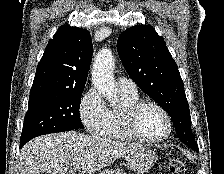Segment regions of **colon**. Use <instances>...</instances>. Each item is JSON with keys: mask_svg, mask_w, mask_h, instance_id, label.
Instances as JSON below:
<instances>
[{"mask_svg": "<svg viewBox=\"0 0 224 174\" xmlns=\"http://www.w3.org/2000/svg\"><path fill=\"white\" fill-rule=\"evenodd\" d=\"M185 170V164L181 159H172L169 162V171L172 174H181Z\"/></svg>", "mask_w": 224, "mask_h": 174, "instance_id": "obj_1", "label": "colon"}]
</instances>
